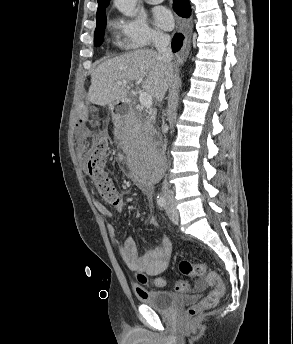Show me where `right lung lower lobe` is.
<instances>
[{
  "mask_svg": "<svg viewBox=\"0 0 293 344\" xmlns=\"http://www.w3.org/2000/svg\"><path fill=\"white\" fill-rule=\"evenodd\" d=\"M173 7L175 12L182 17L188 18L191 14V8L188 0H174ZM184 36L180 33L176 34L172 41V50L177 52L182 46Z\"/></svg>",
  "mask_w": 293,
  "mask_h": 344,
  "instance_id": "98d812e1",
  "label": "right lung lower lobe"
}]
</instances>
